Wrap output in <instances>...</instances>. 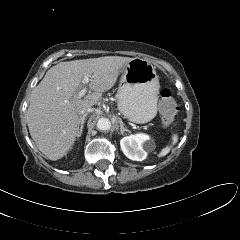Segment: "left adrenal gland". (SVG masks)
Here are the masks:
<instances>
[{
  "mask_svg": "<svg viewBox=\"0 0 240 240\" xmlns=\"http://www.w3.org/2000/svg\"><path fill=\"white\" fill-rule=\"evenodd\" d=\"M119 123H120V134H124L125 131L130 132L126 127H124V123L121 119H119Z\"/></svg>",
  "mask_w": 240,
  "mask_h": 240,
  "instance_id": "1",
  "label": "left adrenal gland"
}]
</instances>
